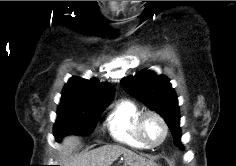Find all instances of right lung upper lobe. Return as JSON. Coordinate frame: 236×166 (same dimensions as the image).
Wrapping results in <instances>:
<instances>
[{"instance_id":"right-lung-upper-lobe-1","label":"right lung upper lobe","mask_w":236,"mask_h":166,"mask_svg":"<svg viewBox=\"0 0 236 166\" xmlns=\"http://www.w3.org/2000/svg\"><path fill=\"white\" fill-rule=\"evenodd\" d=\"M113 95L114 87L109 83L73 76L62 91L61 103L102 107L109 105Z\"/></svg>"}]
</instances>
